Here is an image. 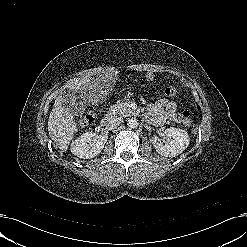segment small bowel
<instances>
[{
	"instance_id": "obj_1",
	"label": "small bowel",
	"mask_w": 247,
	"mask_h": 247,
	"mask_svg": "<svg viewBox=\"0 0 247 247\" xmlns=\"http://www.w3.org/2000/svg\"><path fill=\"white\" fill-rule=\"evenodd\" d=\"M146 78L151 81L154 79V73L148 72ZM148 120L155 125H162L167 119L179 122L180 113L177 112V106L173 101L161 99L148 107Z\"/></svg>"
}]
</instances>
